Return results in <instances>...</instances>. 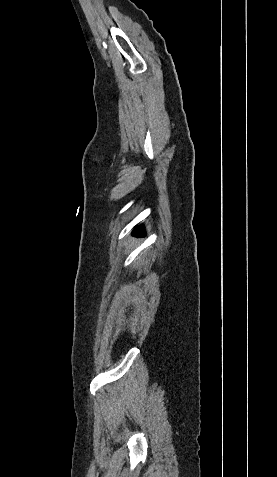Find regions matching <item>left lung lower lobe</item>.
<instances>
[{
  "instance_id": "left-lung-lower-lobe-1",
  "label": "left lung lower lobe",
  "mask_w": 277,
  "mask_h": 477,
  "mask_svg": "<svg viewBox=\"0 0 277 477\" xmlns=\"http://www.w3.org/2000/svg\"><path fill=\"white\" fill-rule=\"evenodd\" d=\"M134 234H136V235H138V236L143 235V230H142V228H141V227L136 228L135 231H134Z\"/></svg>"
}]
</instances>
